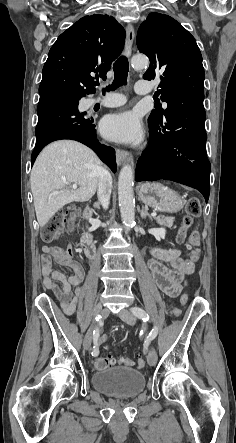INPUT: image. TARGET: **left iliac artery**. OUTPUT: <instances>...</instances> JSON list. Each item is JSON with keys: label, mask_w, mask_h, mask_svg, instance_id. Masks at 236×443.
<instances>
[{"label": "left iliac artery", "mask_w": 236, "mask_h": 443, "mask_svg": "<svg viewBox=\"0 0 236 443\" xmlns=\"http://www.w3.org/2000/svg\"><path fill=\"white\" fill-rule=\"evenodd\" d=\"M130 311L139 319H141L143 322H147L149 320V315L140 307H132ZM158 333V328L156 326L153 327V329L150 331L149 335L147 336V339L144 342V347L147 348L148 344L151 340H153Z\"/></svg>", "instance_id": "1"}]
</instances>
